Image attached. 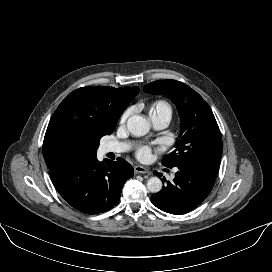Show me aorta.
I'll use <instances>...</instances> for the list:
<instances>
[{
	"label": "aorta",
	"mask_w": 272,
	"mask_h": 272,
	"mask_svg": "<svg viewBox=\"0 0 272 272\" xmlns=\"http://www.w3.org/2000/svg\"><path fill=\"white\" fill-rule=\"evenodd\" d=\"M129 132L137 137L146 135L150 130L149 122L140 116H131L127 120ZM147 189L152 193H157L162 189V181L158 177H151L147 181Z\"/></svg>",
	"instance_id": "aorta-1"
}]
</instances>
